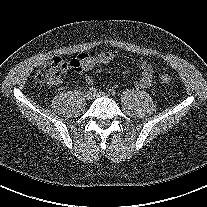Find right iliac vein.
I'll use <instances>...</instances> for the list:
<instances>
[{
	"mask_svg": "<svg viewBox=\"0 0 207 207\" xmlns=\"http://www.w3.org/2000/svg\"><path fill=\"white\" fill-rule=\"evenodd\" d=\"M85 99L86 100H92L94 98V94L91 93L90 91L86 92L85 95H84Z\"/></svg>",
	"mask_w": 207,
	"mask_h": 207,
	"instance_id": "right-iliac-vein-1",
	"label": "right iliac vein"
}]
</instances>
